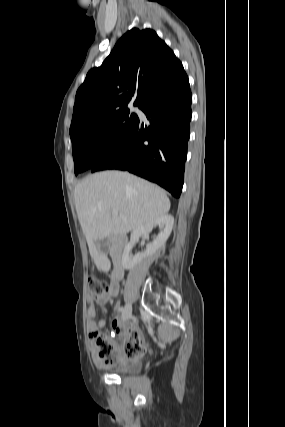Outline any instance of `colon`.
<instances>
[{"label": "colon", "instance_id": "5ec220e1", "mask_svg": "<svg viewBox=\"0 0 285 427\" xmlns=\"http://www.w3.org/2000/svg\"><path fill=\"white\" fill-rule=\"evenodd\" d=\"M88 290L93 299L105 293L108 290L107 284L95 276L88 278ZM91 338L99 350V356L102 359L115 361L116 354L113 350V339L110 335L95 331L91 334ZM143 353V347L137 335H133L128 339L127 345L123 349L122 359L124 361L133 360Z\"/></svg>", "mask_w": 285, "mask_h": 427}]
</instances>
